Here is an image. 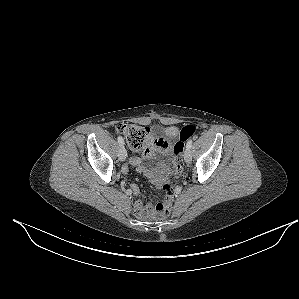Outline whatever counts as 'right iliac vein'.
<instances>
[{
  "instance_id": "right-iliac-vein-1",
  "label": "right iliac vein",
  "mask_w": 299,
  "mask_h": 299,
  "mask_svg": "<svg viewBox=\"0 0 299 299\" xmlns=\"http://www.w3.org/2000/svg\"><path fill=\"white\" fill-rule=\"evenodd\" d=\"M119 160L120 161H125L126 157H127V151L126 149L124 148V146H121L120 147V150H119Z\"/></svg>"
}]
</instances>
